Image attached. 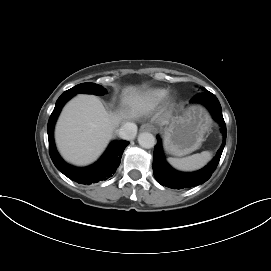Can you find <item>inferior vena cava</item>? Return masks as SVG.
<instances>
[{"label":"inferior vena cava","instance_id":"inferior-vena-cava-1","mask_svg":"<svg viewBox=\"0 0 271 271\" xmlns=\"http://www.w3.org/2000/svg\"><path fill=\"white\" fill-rule=\"evenodd\" d=\"M137 134V125L135 123L126 122L118 130V135L124 140H132Z\"/></svg>","mask_w":271,"mask_h":271}]
</instances>
